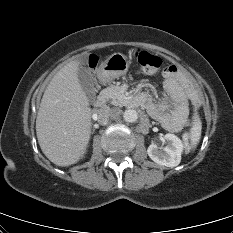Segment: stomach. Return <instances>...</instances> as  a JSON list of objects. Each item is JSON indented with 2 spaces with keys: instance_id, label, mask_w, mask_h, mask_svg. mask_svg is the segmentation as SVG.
Returning <instances> with one entry per match:
<instances>
[{
  "instance_id": "stomach-1",
  "label": "stomach",
  "mask_w": 233,
  "mask_h": 233,
  "mask_svg": "<svg viewBox=\"0 0 233 233\" xmlns=\"http://www.w3.org/2000/svg\"><path fill=\"white\" fill-rule=\"evenodd\" d=\"M129 60L121 53H114L109 56L101 65L99 78L101 81H110L127 73Z\"/></svg>"
}]
</instances>
